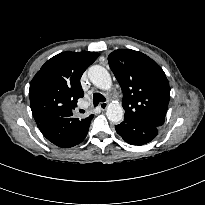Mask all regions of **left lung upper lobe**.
Returning a JSON list of instances; mask_svg holds the SVG:
<instances>
[{
	"label": "left lung upper lobe",
	"instance_id": "1",
	"mask_svg": "<svg viewBox=\"0 0 205 205\" xmlns=\"http://www.w3.org/2000/svg\"><path fill=\"white\" fill-rule=\"evenodd\" d=\"M108 61L123 92L124 117L162 126L170 98L162 68L147 55L130 49L113 51Z\"/></svg>",
	"mask_w": 205,
	"mask_h": 205
}]
</instances>
